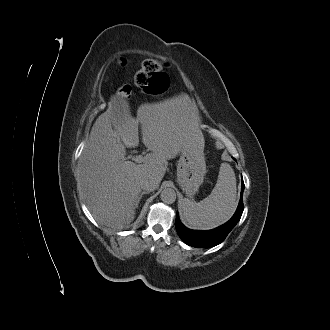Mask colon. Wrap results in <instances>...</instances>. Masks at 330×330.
Instances as JSON below:
<instances>
[{
	"label": "colon",
	"mask_w": 330,
	"mask_h": 330,
	"mask_svg": "<svg viewBox=\"0 0 330 330\" xmlns=\"http://www.w3.org/2000/svg\"><path fill=\"white\" fill-rule=\"evenodd\" d=\"M164 62L159 59L150 58L145 60L134 75L136 88L145 93L158 94L163 92L168 85V78L164 73ZM117 94L123 98H129L133 94L130 85L119 87Z\"/></svg>",
	"instance_id": "1"
}]
</instances>
